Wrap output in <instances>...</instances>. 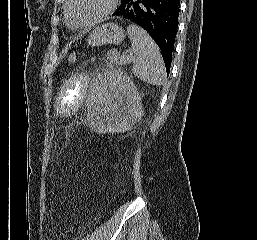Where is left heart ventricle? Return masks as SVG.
<instances>
[{
  "label": "left heart ventricle",
  "mask_w": 257,
  "mask_h": 240,
  "mask_svg": "<svg viewBox=\"0 0 257 240\" xmlns=\"http://www.w3.org/2000/svg\"><path fill=\"white\" fill-rule=\"evenodd\" d=\"M108 1L109 0H73L69 9L71 19L78 24L88 22L107 7Z\"/></svg>",
  "instance_id": "obj_1"
}]
</instances>
